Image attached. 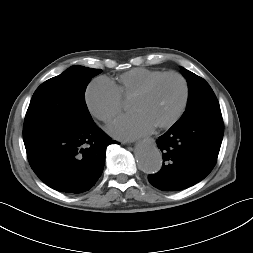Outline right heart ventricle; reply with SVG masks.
<instances>
[{"instance_id":"1","label":"right heart ventricle","mask_w":253,"mask_h":253,"mask_svg":"<svg viewBox=\"0 0 253 253\" xmlns=\"http://www.w3.org/2000/svg\"><path fill=\"white\" fill-rule=\"evenodd\" d=\"M165 72L148 68H134L122 73L112 84L121 99L132 98L147 82Z\"/></svg>"}]
</instances>
